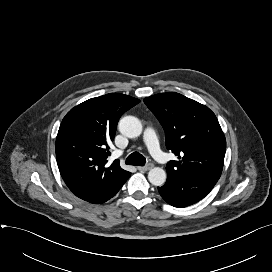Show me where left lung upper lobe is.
Returning <instances> with one entry per match:
<instances>
[{
  "label": "left lung upper lobe",
  "mask_w": 272,
  "mask_h": 272,
  "mask_svg": "<svg viewBox=\"0 0 272 272\" xmlns=\"http://www.w3.org/2000/svg\"><path fill=\"white\" fill-rule=\"evenodd\" d=\"M144 103L163 127L166 147L180 159L167 164V179L189 175L216 183L223 169L226 139L215 114L175 92L146 97Z\"/></svg>",
  "instance_id": "left-lung-upper-lobe-1"
}]
</instances>
